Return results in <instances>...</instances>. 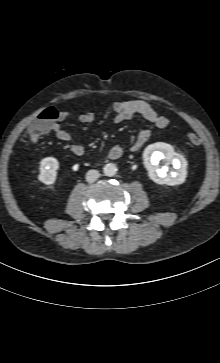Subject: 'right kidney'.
<instances>
[{"mask_svg":"<svg viewBox=\"0 0 220 363\" xmlns=\"http://www.w3.org/2000/svg\"><path fill=\"white\" fill-rule=\"evenodd\" d=\"M59 168V162L53 157H46L40 162V174L38 180L44 184H53L56 180L57 169Z\"/></svg>","mask_w":220,"mask_h":363,"instance_id":"ca27d5eb","label":"right kidney"}]
</instances>
